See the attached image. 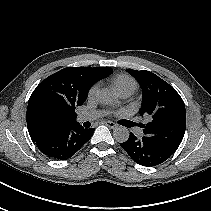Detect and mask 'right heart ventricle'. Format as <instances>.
<instances>
[{"label":"right heart ventricle","instance_id":"e07e8e85","mask_svg":"<svg viewBox=\"0 0 211 211\" xmlns=\"http://www.w3.org/2000/svg\"><path fill=\"white\" fill-rule=\"evenodd\" d=\"M112 83L119 93L123 91L134 92L137 89V82L131 76L126 74L116 75L112 79Z\"/></svg>","mask_w":211,"mask_h":211}]
</instances>
